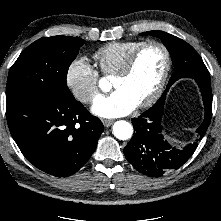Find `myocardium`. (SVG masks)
Listing matches in <instances>:
<instances>
[{
  "mask_svg": "<svg viewBox=\"0 0 221 221\" xmlns=\"http://www.w3.org/2000/svg\"><path fill=\"white\" fill-rule=\"evenodd\" d=\"M150 46H157L159 47L163 54H164V59H165V63H164V69L161 75V78L159 80V83L157 85V87L155 88V90L153 91V93L144 101H142L141 103H139L137 105V107L139 108H145V107H149L152 104H154L162 95L164 88L166 86L168 77H169V73L171 70V55L170 52L168 50V48L166 47V45L160 41H156V40H150V41H146L143 44H141L139 47H137L133 52H131L129 54V56L126 58V60L124 61V63L122 64V66L117 70V72L114 74V77H126L128 76L131 71L134 68V65L136 63L137 58L139 57V55L148 47Z\"/></svg>",
  "mask_w": 221,
  "mask_h": 221,
  "instance_id": "myocardium-1",
  "label": "myocardium"
}]
</instances>
